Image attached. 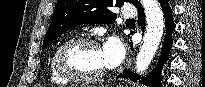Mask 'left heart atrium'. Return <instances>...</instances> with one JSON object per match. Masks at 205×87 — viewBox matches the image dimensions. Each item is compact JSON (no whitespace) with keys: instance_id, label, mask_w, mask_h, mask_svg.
<instances>
[{"instance_id":"left-heart-atrium-1","label":"left heart atrium","mask_w":205,"mask_h":87,"mask_svg":"<svg viewBox=\"0 0 205 87\" xmlns=\"http://www.w3.org/2000/svg\"><path fill=\"white\" fill-rule=\"evenodd\" d=\"M105 64L114 66L124 57V48L119 40L110 38L102 49Z\"/></svg>"}]
</instances>
